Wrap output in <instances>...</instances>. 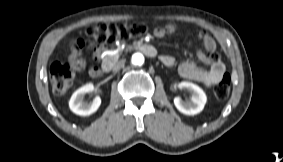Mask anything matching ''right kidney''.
Returning <instances> with one entry per match:
<instances>
[{
  "instance_id": "1",
  "label": "right kidney",
  "mask_w": 283,
  "mask_h": 162,
  "mask_svg": "<svg viewBox=\"0 0 283 162\" xmlns=\"http://www.w3.org/2000/svg\"><path fill=\"white\" fill-rule=\"evenodd\" d=\"M94 90L93 83H87L76 90L70 98L69 107L72 112L80 116H88L96 112L101 104L99 96L95 97L91 103L83 101L85 94Z\"/></svg>"
}]
</instances>
